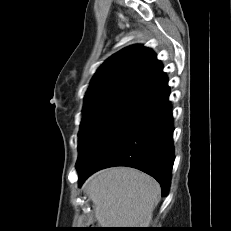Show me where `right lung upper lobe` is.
Instances as JSON below:
<instances>
[{"label":"right lung upper lobe","mask_w":231,"mask_h":231,"mask_svg":"<svg viewBox=\"0 0 231 231\" xmlns=\"http://www.w3.org/2000/svg\"><path fill=\"white\" fill-rule=\"evenodd\" d=\"M169 94L168 78L155 53L143 45H132L100 66L85 94L84 107L110 95H130L149 104Z\"/></svg>","instance_id":"obj_1"}]
</instances>
